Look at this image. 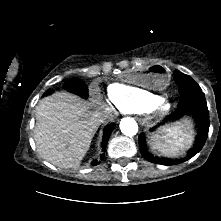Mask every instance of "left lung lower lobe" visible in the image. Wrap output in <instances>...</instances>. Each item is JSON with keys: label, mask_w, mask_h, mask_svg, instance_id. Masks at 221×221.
Here are the masks:
<instances>
[{"label": "left lung lower lobe", "mask_w": 221, "mask_h": 221, "mask_svg": "<svg viewBox=\"0 0 221 221\" xmlns=\"http://www.w3.org/2000/svg\"><path fill=\"white\" fill-rule=\"evenodd\" d=\"M183 117H190L191 119H193L195 128L197 130L195 143L193 147L187 152V155L179 159L166 158V160L154 156L146 148L145 136L143 134H140L138 137L139 149L142 156L147 161L162 165H175L183 163L192 158L203 148L208 137L210 126L209 111L203 92L182 97L181 101L178 104L176 112L172 113L168 118H166V121L177 120Z\"/></svg>", "instance_id": "left-lung-lower-lobe-1"}]
</instances>
